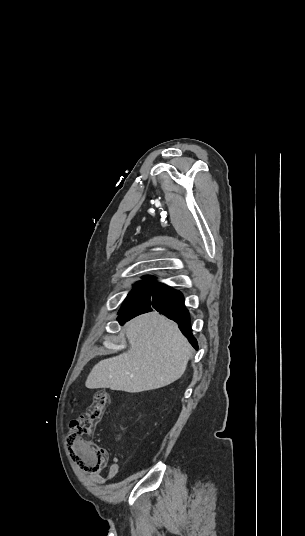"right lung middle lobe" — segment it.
Segmentation results:
<instances>
[{
  "instance_id": "dd1d6c3e",
  "label": "right lung middle lobe",
  "mask_w": 305,
  "mask_h": 536,
  "mask_svg": "<svg viewBox=\"0 0 305 536\" xmlns=\"http://www.w3.org/2000/svg\"><path fill=\"white\" fill-rule=\"evenodd\" d=\"M149 279L151 278H145L144 281L138 282L136 284L135 288L128 294L127 298L123 302L119 313L127 309L129 306H131L144 295L148 294L157 285H159L158 282L151 281Z\"/></svg>"
}]
</instances>
